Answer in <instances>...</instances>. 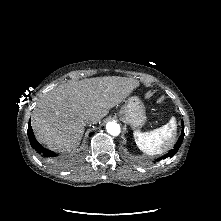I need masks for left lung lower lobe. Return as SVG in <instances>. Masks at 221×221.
Wrapping results in <instances>:
<instances>
[{
	"label": "left lung lower lobe",
	"instance_id": "left-lung-lower-lobe-1",
	"mask_svg": "<svg viewBox=\"0 0 221 221\" xmlns=\"http://www.w3.org/2000/svg\"><path fill=\"white\" fill-rule=\"evenodd\" d=\"M181 125H182V132H181V135H180L177 143L175 144L174 148L172 150H170L165 156L159 158V160L167 158V157H173V155H175L177 153V151L179 150V148L182 144L183 138H184V123L181 122Z\"/></svg>",
	"mask_w": 221,
	"mask_h": 221
}]
</instances>
